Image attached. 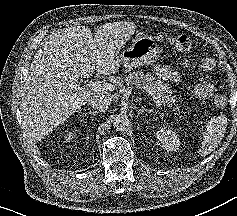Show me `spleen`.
<instances>
[{
    "label": "spleen",
    "mask_w": 237,
    "mask_h": 216,
    "mask_svg": "<svg viewBox=\"0 0 237 216\" xmlns=\"http://www.w3.org/2000/svg\"><path fill=\"white\" fill-rule=\"evenodd\" d=\"M206 133H207V130L204 131V136L200 142L202 149L209 147V145L213 142V138H212L213 136H207Z\"/></svg>",
    "instance_id": "3e777b00"
}]
</instances>
